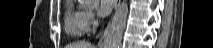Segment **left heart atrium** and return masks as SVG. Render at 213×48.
I'll return each instance as SVG.
<instances>
[{
  "instance_id": "39dd6f15",
  "label": "left heart atrium",
  "mask_w": 213,
  "mask_h": 48,
  "mask_svg": "<svg viewBox=\"0 0 213 48\" xmlns=\"http://www.w3.org/2000/svg\"><path fill=\"white\" fill-rule=\"evenodd\" d=\"M114 5V0H100L98 1L97 13L100 16H105L111 12Z\"/></svg>"
}]
</instances>
